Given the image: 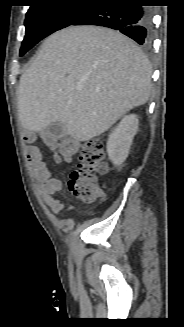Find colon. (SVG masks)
Wrapping results in <instances>:
<instances>
[{
	"label": "colon",
	"mask_w": 184,
	"mask_h": 327,
	"mask_svg": "<svg viewBox=\"0 0 184 327\" xmlns=\"http://www.w3.org/2000/svg\"><path fill=\"white\" fill-rule=\"evenodd\" d=\"M107 173L102 142L87 141L80 152L77 170L72 172L69 189L85 203H92L103 196L98 179Z\"/></svg>",
	"instance_id": "colon-1"
}]
</instances>
